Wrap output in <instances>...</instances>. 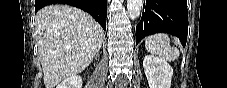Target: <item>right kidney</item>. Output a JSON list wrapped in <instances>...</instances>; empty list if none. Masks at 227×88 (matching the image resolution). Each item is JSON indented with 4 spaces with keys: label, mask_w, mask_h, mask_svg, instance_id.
Returning <instances> with one entry per match:
<instances>
[{
    "label": "right kidney",
    "mask_w": 227,
    "mask_h": 88,
    "mask_svg": "<svg viewBox=\"0 0 227 88\" xmlns=\"http://www.w3.org/2000/svg\"><path fill=\"white\" fill-rule=\"evenodd\" d=\"M56 88H82V78L74 75L64 79Z\"/></svg>",
    "instance_id": "1"
}]
</instances>
